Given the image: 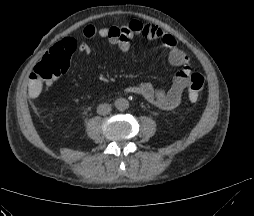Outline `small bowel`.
<instances>
[{"label": "small bowel", "mask_w": 254, "mask_h": 216, "mask_svg": "<svg viewBox=\"0 0 254 216\" xmlns=\"http://www.w3.org/2000/svg\"><path fill=\"white\" fill-rule=\"evenodd\" d=\"M137 34L160 42L168 50L169 64L180 68V70L175 74L171 85L167 88L143 83L126 86L120 89V92L138 95L161 110H173L182 102L183 91L187 86L190 73V57L178 46L173 36L154 25H144L137 20L119 26H104L100 28L94 25H87L83 29V36L86 39L91 40L97 37L106 39L110 44L118 47L122 53H127L130 50L131 41ZM52 49H58L69 57L76 51L84 54L90 52V46L87 43H79L74 38H65L57 42L50 50Z\"/></svg>", "instance_id": "small-bowel-1"}]
</instances>
